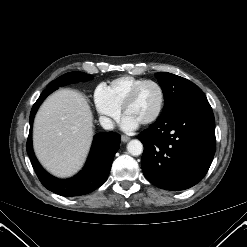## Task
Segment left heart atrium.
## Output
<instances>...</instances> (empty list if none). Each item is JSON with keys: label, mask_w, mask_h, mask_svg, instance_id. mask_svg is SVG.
Segmentation results:
<instances>
[{"label": "left heart atrium", "mask_w": 247, "mask_h": 247, "mask_svg": "<svg viewBox=\"0 0 247 247\" xmlns=\"http://www.w3.org/2000/svg\"><path fill=\"white\" fill-rule=\"evenodd\" d=\"M140 122L129 115H125L122 119V128L126 131H132L139 126Z\"/></svg>", "instance_id": "obj_1"}]
</instances>
